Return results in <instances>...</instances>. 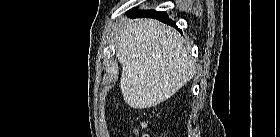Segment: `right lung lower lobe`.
Listing matches in <instances>:
<instances>
[{
  "mask_svg": "<svg viewBox=\"0 0 280 137\" xmlns=\"http://www.w3.org/2000/svg\"><path fill=\"white\" fill-rule=\"evenodd\" d=\"M129 15L133 17H146V18H154L160 20L168 25L176 27L175 22L170 20L165 12L155 11V10H131L128 12ZM177 28V27H176Z\"/></svg>",
  "mask_w": 280,
  "mask_h": 137,
  "instance_id": "98d812e1",
  "label": "right lung lower lobe"
}]
</instances>
